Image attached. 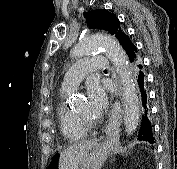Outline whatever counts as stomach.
I'll return each instance as SVG.
<instances>
[{
    "instance_id": "stomach-1",
    "label": "stomach",
    "mask_w": 177,
    "mask_h": 169,
    "mask_svg": "<svg viewBox=\"0 0 177 169\" xmlns=\"http://www.w3.org/2000/svg\"><path fill=\"white\" fill-rule=\"evenodd\" d=\"M112 149L113 147L107 143L96 144L87 157H85L79 169H101ZM59 155L53 156L48 169H58Z\"/></svg>"
}]
</instances>
